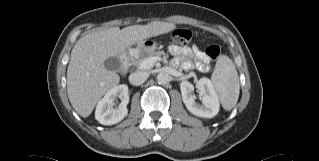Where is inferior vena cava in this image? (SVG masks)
I'll list each match as a JSON object with an SVG mask.
<instances>
[{"label":"inferior vena cava","mask_w":319,"mask_h":161,"mask_svg":"<svg viewBox=\"0 0 319 161\" xmlns=\"http://www.w3.org/2000/svg\"><path fill=\"white\" fill-rule=\"evenodd\" d=\"M148 73L145 71H136L129 75V82L132 85L138 86L146 81Z\"/></svg>","instance_id":"inferior-vena-cava-1"}]
</instances>
